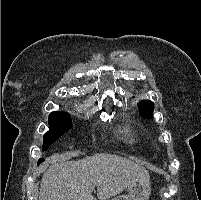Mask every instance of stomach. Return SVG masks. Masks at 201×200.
<instances>
[{
  "label": "stomach",
  "instance_id": "1",
  "mask_svg": "<svg viewBox=\"0 0 201 200\" xmlns=\"http://www.w3.org/2000/svg\"><path fill=\"white\" fill-rule=\"evenodd\" d=\"M151 193L149 180L139 179L127 187L126 195H119L110 200H148Z\"/></svg>",
  "mask_w": 201,
  "mask_h": 200
}]
</instances>
